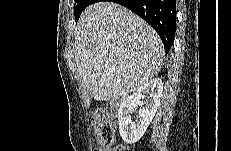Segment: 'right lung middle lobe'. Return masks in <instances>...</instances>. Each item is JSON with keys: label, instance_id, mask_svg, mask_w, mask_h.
Returning a JSON list of instances; mask_svg holds the SVG:
<instances>
[{"label": "right lung middle lobe", "instance_id": "obj_1", "mask_svg": "<svg viewBox=\"0 0 231 151\" xmlns=\"http://www.w3.org/2000/svg\"><path fill=\"white\" fill-rule=\"evenodd\" d=\"M90 4H93V0H75V4H74V15H75V21L77 22L80 14L82 13V11L89 6Z\"/></svg>", "mask_w": 231, "mask_h": 151}]
</instances>
